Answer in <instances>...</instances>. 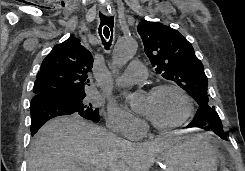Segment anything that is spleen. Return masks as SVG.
Segmentation results:
<instances>
[{
    "mask_svg": "<svg viewBox=\"0 0 245 171\" xmlns=\"http://www.w3.org/2000/svg\"><path fill=\"white\" fill-rule=\"evenodd\" d=\"M222 171H229L227 168H223Z\"/></svg>",
    "mask_w": 245,
    "mask_h": 171,
    "instance_id": "3e777b00",
    "label": "spleen"
}]
</instances>
